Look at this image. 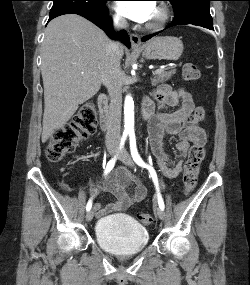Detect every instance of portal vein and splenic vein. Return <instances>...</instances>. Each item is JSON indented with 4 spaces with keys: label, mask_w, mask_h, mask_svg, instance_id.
I'll return each mask as SVG.
<instances>
[{
    "label": "portal vein and splenic vein",
    "mask_w": 250,
    "mask_h": 285,
    "mask_svg": "<svg viewBox=\"0 0 250 285\" xmlns=\"http://www.w3.org/2000/svg\"><path fill=\"white\" fill-rule=\"evenodd\" d=\"M162 71H164V68H163V67H161V68L155 70V71L153 72V74H154V75H155V74H159V73H161Z\"/></svg>",
    "instance_id": "1"
}]
</instances>
